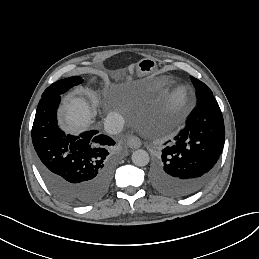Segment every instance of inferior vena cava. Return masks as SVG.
I'll list each match as a JSON object with an SVG mask.
<instances>
[{"label":"inferior vena cava","mask_w":259,"mask_h":259,"mask_svg":"<svg viewBox=\"0 0 259 259\" xmlns=\"http://www.w3.org/2000/svg\"><path fill=\"white\" fill-rule=\"evenodd\" d=\"M124 126V118L117 112H110L105 120V130L109 134L119 133Z\"/></svg>","instance_id":"obj_1"}]
</instances>
